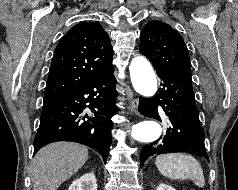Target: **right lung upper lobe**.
<instances>
[{
    "label": "right lung upper lobe",
    "instance_id": "obj_1",
    "mask_svg": "<svg viewBox=\"0 0 238 190\" xmlns=\"http://www.w3.org/2000/svg\"><path fill=\"white\" fill-rule=\"evenodd\" d=\"M113 49L98 22H81L58 43L49 70L44 103L60 99L111 70Z\"/></svg>",
    "mask_w": 238,
    "mask_h": 190
}]
</instances>
